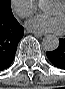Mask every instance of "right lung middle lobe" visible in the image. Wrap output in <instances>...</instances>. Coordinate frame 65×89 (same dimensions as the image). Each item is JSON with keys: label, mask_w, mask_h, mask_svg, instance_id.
<instances>
[{"label": "right lung middle lobe", "mask_w": 65, "mask_h": 89, "mask_svg": "<svg viewBox=\"0 0 65 89\" xmlns=\"http://www.w3.org/2000/svg\"><path fill=\"white\" fill-rule=\"evenodd\" d=\"M0 11H3L8 15L13 14L10 6V0H0Z\"/></svg>", "instance_id": "right-lung-middle-lobe-1"}]
</instances>
